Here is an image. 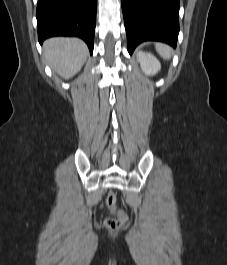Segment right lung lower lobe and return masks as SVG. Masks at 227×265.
Masks as SVG:
<instances>
[{"mask_svg": "<svg viewBox=\"0 0 227 265\" xmlns=\"http://www.w3.org/2000/svg\"><path fill=\"white\" fill-rule=\"evenodd\" d=\"M97 0H38L36 18L38 39L76 36L93 53Z\"/></svg>", "mask_w": 227, "mask_h": 265, "instance_id": "98d812e1", "label": "right lung lower lobe"}]
</instances>
